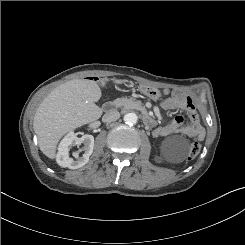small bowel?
<instances>
[{
	"instance_id": "c3829d8e",
	"label": "small bowel",
	"mask_w": 245,
	"mask_h": 245,
	"mask_svg": "<svg viewBox=\"0 0 245 245\" xmlns=\"http://www.w3.org/2000/svg\"><path fill=\"white\" fill-rule=\"evenodd\" d=\"M161 107L178 110L180 111V115L168 121L164 126L156 128L154 130L155 136L181 133L193 140H203L205 130L200 123L199 115L190 96L181 92H174L170 97L161 102ZM186 118L189 120L188 124H184Z\"/></svg>"
}]
</instances>
